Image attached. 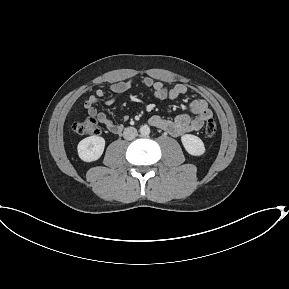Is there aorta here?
<instances>
[{
	"mask_svg": "<svg viewBox=\"0 0 289 289\" xmlns=\"http://www.w3.org/2000/svg\"><path fill=\"white\" fill-rule=\"evenodd\" d=\"M140 134H141L142 136H147V135H149V134H150V128H149V126H148V125H142V126L140 127Z\"/></svg>",
	"mask_w": 289,
	"mask_h": 289,
	"instance_id": "aorta-1",
	"label": "aorta"
}]
</instances>
